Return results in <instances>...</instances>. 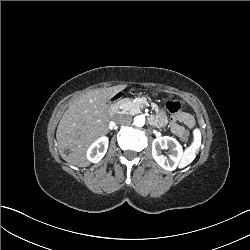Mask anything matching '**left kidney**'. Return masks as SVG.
Listing matches in <instances>:
<instances>
[{"instance_id":"obj_1","label":"left kidney","mask_w":250,"mask_h":250,"mask_svg":"<svg viewBox=\"0 0 250 250\" xmlns=\"http://www.w3.org/2000/svg\"><path fill=\"white\" fill-rule=\"evenodd\" d=\"M170 147L172 154L170 158L166 159L165 155H162L161 150ZM183 147L182 145L173 137L163 136L161 138H156L152 144V155L155 161L165 170L174 171L177 169L179 163L183 158Z\"/></svg>"}]
</instances>
